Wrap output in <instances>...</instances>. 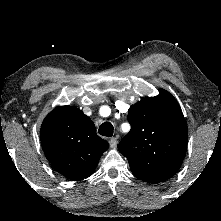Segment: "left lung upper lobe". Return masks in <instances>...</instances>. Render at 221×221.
<instances>
[{
    "mask_svg": "<svg viewBox=\"0 0 221 221\" xmlns=\"http://www.w3.org/2000/svg\"><path fill=\"white\" fill-rule=\"evenodd\" d=\"M130 132L118 150L128 159L135 177L148 183L169 179L181 166L187 147L186 120L176 99L160 89L128 111Z\"/></svg>",
    "mask_w": 221,
    "mask_h": 221,
    "instance_id": "5c2ea615",
    "label": "left lung upper lobe"
}]
</instances>
